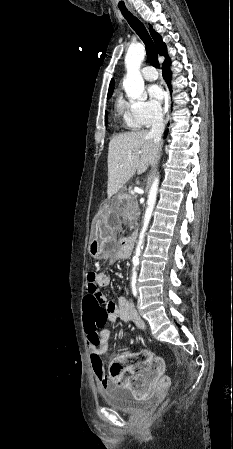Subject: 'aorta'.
Listing matches in <instances>:
<instances>
[{
    "instance_id": "obj_1",
    "label": "aorta",
    "mask_w": 233,
    "mask_h": 449,
    "mask_svg": "<svg viewBox=\"0 0 233 449\" xmlns=\"http://www.w3.org/2000/svg\"><path fill=\"white\" fill-rule=\"evenodd\" d=\"M144 56H145V48L142 44L138 43L131 45L129 47L125 57V66L127 69V74L123 81V87L125 89L127 96L130 99H139V100L147 99V94L144 91V80L140 73V67L144 59ZM158 185H159V176L154 178V181L149 191L143 227L141 229L139 240L136 247V252L133 257V278H136L137 274L136 269L139 265V257L141 249L143 248L145 233L148 228L152 212L156 203Z\"/></svg>"
}]
</instances>
